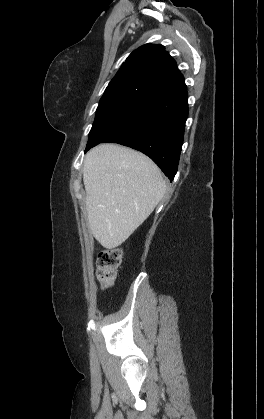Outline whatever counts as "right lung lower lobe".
I'll return each mask as SVG.
<instances>
[{
	"mask_svg": "<svg viewBox=\"0 0 264 419\" xmlns=\"http://www.w3.org/2000/svg\"><path fill=\"white\" fill-rule=\"evenodd\" d=\"M188 116L186 89L143 102L134 115L101 143H119L149 156L173 180Z\"/></svg>",
	"mask_w": 264,
	"mask_h": 419,
	"instance_id": "right-lung-lower-lobe-1",
	"label": "right lung lower lobe"
}]
</instances>
